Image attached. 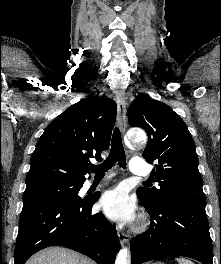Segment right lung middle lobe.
<instances>
[{
	"label": "right lung middle lobe",
	"mask_w": 221,
	"mask_h": 264,
	"mask_svg": "<svg viewBox=\"0 0 221 264\" xmlns=\"http://www.w3.org/2000/svg\"><path fill=\"white\" fill-rule=\"evenodd\" d=\"M83 183L74 182H54L38 187L26 189L23 194V200L35 198H54L63 200H82L78 196V192Z\"/></svg>",
	"instance_id": "1"
}]
</instances>
